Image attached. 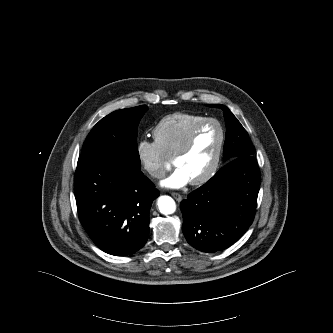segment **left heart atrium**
<instances>
[{
  "label": "left heart atrium",
  "mask_w": 333,
  "mask_h": 333,
  "mask_svg": "<svg viewBox=\"0 0 333 333\" xmlns=\"http://www.w3.org/2000/svg\"><path fill=\"white\" fill-rule=\"evenodd\" d=\"M190 183L188 175L180 167H176L173 172L161 182V186L170 189H179Z\"/></svg>",
  "instance_id": "1"
}]
</instances>
